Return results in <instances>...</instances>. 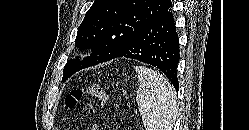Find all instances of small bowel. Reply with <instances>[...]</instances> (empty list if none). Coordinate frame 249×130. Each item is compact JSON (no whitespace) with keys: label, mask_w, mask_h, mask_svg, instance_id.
<instances>
[{"label":"small bowel","mask_w":249,"mask_h":130,"mask_svg":"<svg viewBox=\"0 0 249 130\" xmlns=\"http://www.w3.org/2000/svg\"><path fill=\"white\" fill-rule=\"evenodd\" d=\"M92 130H99L98 126H94Z\"/></svg>","instance_id":"1"}]
</instances>
